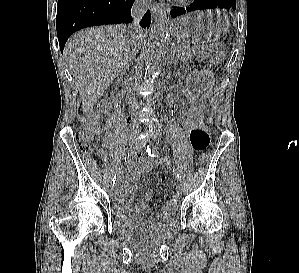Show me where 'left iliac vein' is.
I'll use <instances>...</instances> for the list:
<instances>
[{
	"instance_id": "4c4485c4",
	"label": "left iliac vein",
	"mask_w": 299,
	"mask_h": 273,
	"mask_svg": "<svg viewBox=\"0 0 299 273\" xmlns=\"http://www.w3.org/2000/svg\"><path fill=\"white\" fill-rule=\"evenodd\" d=\"M143 149H144V145H143V144H138V146H137V150L142 152ZM176 190H177L178 192H182V190H183V186H182V184H181L180 182L177 183V185H176Z\"/></svg>"
}]
</instances>
